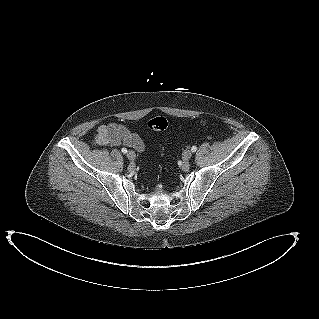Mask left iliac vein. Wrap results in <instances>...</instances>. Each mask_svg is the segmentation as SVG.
<instances>
[{
	"mask_svg": "<svg viewBox=\"0 0 319 319\" xmlns=\"http://www.w3.org/2000/svg\"><path fill=\"white\" fill-rule=\"evenodd\" d=\"M192 157V151L191 150H185L182 154V158L184 161H188Z\"/></svg>",
	"mask_w": 319,
	"mask_h": 319,
	"instance_id": "1",
	"label": "left iliac vein"
}]
</instances>
